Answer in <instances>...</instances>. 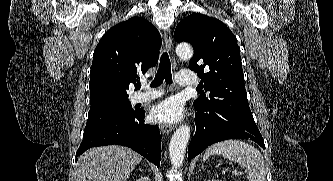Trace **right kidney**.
<instances>
[{
    "label": "right kidney",
    "mask_w": 333,
    "mask_h": 181,
    "mask_svg": "<svg viewBox=\"0 0 333 181\" xmlns=\"http://www.w3.org/2000/svg\"><path fill=\"white\" fill-rule=\"evenodd\" d=\"M137 181H151L148 177H141Z\"/></svg>",
    "instance_id": "1"
}]
</instances>
